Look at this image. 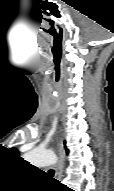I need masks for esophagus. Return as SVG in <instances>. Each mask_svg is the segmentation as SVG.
<instances>
[{"label": "esophagus", "mask_w": 114, "mask_h": 191, "mask_svg": "<svg viewBox=\"0 0 114 191\" xmlns=\"http://www.w3.org/2000/svg\"><path fill=\"white\" fill-rule=\"evenodd\" d=\"M63 166H64V149H63L62 141H60L59 142V162L55 171V177L58 180H60L62 177Z\"/></svg>", "instance_id": "esophagus-1"}]
</instances>
